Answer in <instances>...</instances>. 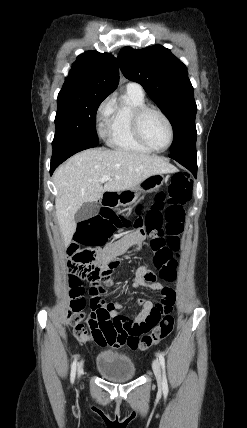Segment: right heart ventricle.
Segmentation results:
<instances>
[{"label":"right heart ventricle","instance_id":"1","mask_svg":"<svg viewBox=\"0 0 247 428\" xmlns=\"http://www.w3.org/2000/svg\"><path fill=\"white\" fill-rule=\"evenodd\" d=\"M143 105H146L143 90L133 87H126L120 99L112 103L106 127L107 142L111 147L135 153L150 152L136 139L131 126L132 113Z\"/></svg>","mask_w":247,"mask_h":428}]
</instances>
